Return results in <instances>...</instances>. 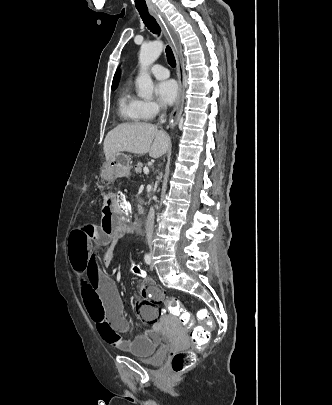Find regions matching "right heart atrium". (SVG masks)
I'll list each match as a JSON object with an SVG mask.
<instances>
[{
	"instance_id": "1",
	"label": "right heart atrium",
	"mask_w": 332,
	"mask_h": 405,
	"mask_svg": "<svg viewBox=\"0 0 332 405\" xmlns=\"http://www.w3.org/2000/svg\"><path fill=\"white\" fill-rule=\"evenodd\" d=\"M161 109V106L153 101H145L143 102V111L146 118L154 117Z\"/></svg>"
}]
</instances>
